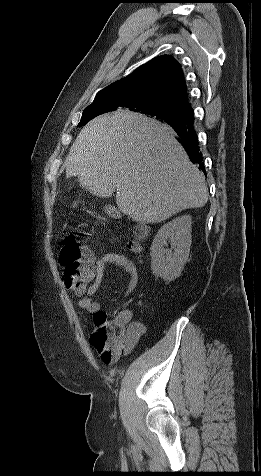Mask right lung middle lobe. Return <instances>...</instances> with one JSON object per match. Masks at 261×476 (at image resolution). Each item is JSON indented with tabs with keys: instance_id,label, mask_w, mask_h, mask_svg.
Wrapping results in <instances>:
<instances>
[{
	"instance_id": "1",
	"label": "right lung middle lobe",
	"mask_w": 261,
	"mask_h": 476,
	"mask_svg": "<svg viewBox=\"0 0 261 476\" xmlns=\"http://www.w3.org/2000/svg\"><path fill=\"white\" fill-rule=\"evenodd\" d=\"M119 99L120 98L118 95H110L94 100L93 103L83 111V115L78 126H84L88 121L102 113L111 112L115 110H130L133 112H138L160 119L161 121H164L167 124L179 121L185 115V112L178 108L156 102L140 104L135 107L121 110Z\"/></svg>"
}]
</instances>
